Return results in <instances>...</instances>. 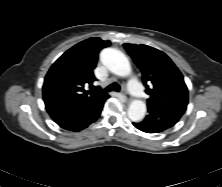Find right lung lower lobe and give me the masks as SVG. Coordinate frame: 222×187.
<instances>
[{
    "mask_svg": "<svg viewBox=\"0 0 222 187\" xmlns=\"http://www.w3.org/2000/svg\"><path fill=\"white\" fill-rule=\"evenodd\" d=\"M105 101L106 99L88 105H76L54 97L44 98L51 118L63 129L75 132L88 127L99 117Z\"/></svg>",
    "mask_w": 222,
    "mask_h": 187,
    "instance_id": "right-lung-lower-lobe-1",
    "label": "right lung lower lobe"
}]
</instances>
